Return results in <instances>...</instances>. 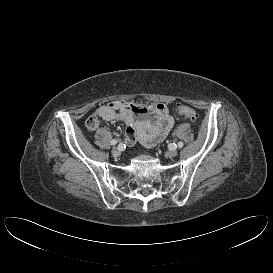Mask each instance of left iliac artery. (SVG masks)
<instances>
[{"mask_svg": "<svg viewBox=\"0 0 273 273\" xmlns=\"http://www.w3.org/2000/svg\"><path fill=\"white\" fill-rule=\"evenodd\" d=\"M177 145L179 148H182L184 144H183V142L179 141Z\"/></svg>", "mask_w": 273, "mask_h": 273, "instance_id": "44dca946", "label": "left iliac artery"}]
</instances>
